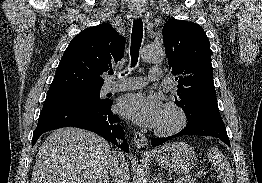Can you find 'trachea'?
I'll use <instances>...</instances> for the list:
<instances>
[{"label":"trachea","mask_w":262,"mask_h":183,"mask_svg":"<svg viewBox=\"0 0 262 183\" xmlns=\"http://www.w3.org/2000/svg\"><path fill=\"white\" fill-rule=\"evenodd\" d=\"M143 39V22L141 18L134 20L132 34H131V67H134L138 62L139 49L141 47ZM110 75L113 74V71L109 72Z\"/></svg>","instance_id":"3493384b"}]
</instances>
